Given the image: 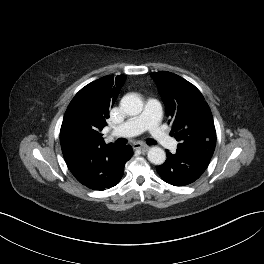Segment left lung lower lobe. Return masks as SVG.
Returning a JSON list of instances; mask_svg holds the SVG:
<instances>
[{
    "mask_svg": "<svg viewBox=\"0 0 264 264\" xmlns=\"http://www.w3.org/2000/svg\"><path fill=\"white\" fill-rule=\"evenodd\" d=\"M167 159L164 164L156 167L161 178L174 186H185L195 182L206 170L210 159L177 151L175 154L166 150Z\"/></svg>",
    "mask_w": 264,
    "mask_h": 264,
    "instance_id": "left-lung-lower-lobe-1",
    "label": "left lung lower lobe"
}]
</instances>
